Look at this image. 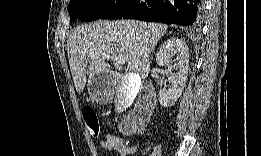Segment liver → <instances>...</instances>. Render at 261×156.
<instances>
[{"mask_svg":"<svg viewBox=\"0 0 261 156\" xmlns=\"http://www.w3.org/2000/svg\"><path fill=\"white\" fill-rule=\"evenodd\" d=\"M167 32V26L135 20L96 21L77 26L67 41V54L76 91L80 94L87 76L114 72L102 54L122 58L132 74L145 79L150 69V55L159 39ZM128 102L123 97L117 102L122 111Z\"/></svg>","mask_w":261,"mask_h":156,"instance_id":"1","label":"liver"}]
</instances>
